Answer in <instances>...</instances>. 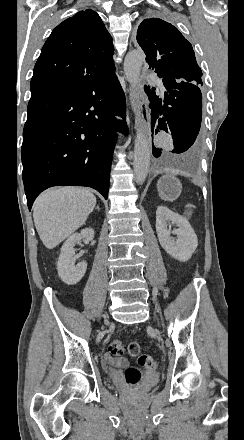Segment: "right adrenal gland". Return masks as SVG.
Listing matches in <instances>:
<instances>
[{"instance_id": "obj_1", "label": "right adrenal gland", "mask_w": 244, "mask_h": 440, "mask_svg": "<svg viewBox=\"0 0 244 440\" xmlns=\"http://www.w3.org/2000/svg\"><path fill=\"white\" fill-rule=\"evenodd\" d=\"M95 210H100L99 206H97V208H95Z\"/></svg>"}]
</instances>
